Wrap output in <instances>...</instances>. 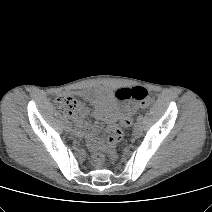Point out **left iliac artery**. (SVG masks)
Masks as SVG:
<instances>
[{"mask_svg":"<svg viewBox=\"0 0 212 212\" xmlns=\"http://www.w3.org/2000/svg\"><path fill=\"white\" fill-rule=\"evenodd\" d=\"M143 120V115L142 114H139V116L137 117V121L138 122H141Z\"/></svg>","mask_w":212,"mask_h":212,"instance_id":"1","label":"left iliac artery"}]
</instances>
